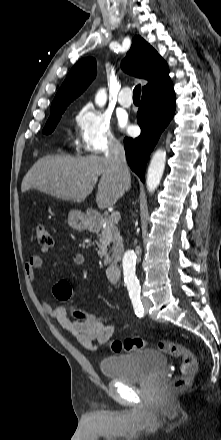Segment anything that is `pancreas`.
Returning <instances> with one entry per match:
<instances>
[{
  "instance_id": "1",
  "label": "pancreas",
  "mask_w": 221,
  "mask_h": 440,
  "mask_svg": "<svg viewBox=\"0 0 221 440\" xmlns=\"http://www.w3.org/2000/svg\"><path fill=\"white\" fill-rule=\"evenodd\" d=\"M97 233V236L100 241L99 245V255L102 256L104 254V250L107 245L110 243H114L117 245V256L119 259V256L121 254V242L122 239L120 237L119 230L114 222L110 220V217L105 218L102 222H100L99 226L93 230ZM101 231V234L99 232Z\"/></svg>"
}]
</instances>
